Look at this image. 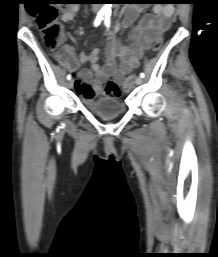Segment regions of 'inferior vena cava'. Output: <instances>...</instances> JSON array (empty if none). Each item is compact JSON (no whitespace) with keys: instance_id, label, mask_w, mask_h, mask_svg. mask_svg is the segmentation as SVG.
<instances>
[{"instance_id":"obj_1","label":"inferior vena cava","mask_w":218,"mask_h":257,"mask_svg":"<svg viewBox=\"0 0 218 257\" xmlns=\"http://www.w3.org/2000/svg\"><path fill=\"white\" fill-rule=\"evenodd\" d=\"M99 6H100V4H93V9H94V10H98V9H99Z\"/></svg>"}]
</instances>
